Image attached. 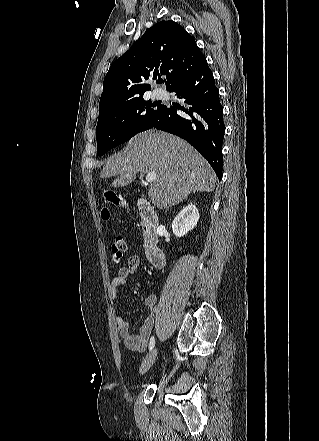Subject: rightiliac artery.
<instances>
[{
	"label": "right iliac artery",
	"instance_id": "obj_1",
	"mask_svg": "<svg viewBox=\"0 0 319 441\" xmlns=\"http://www.w3.org/2000/svg\"><path fill=\"white\" fill-rule=\"evenodd\" d=\"M155 346V339L154 336L151 337L150 343H149V350L151 351Z\"/></svg>",
	"mask_w": 319,
	"mask_h": 441
}]
</instances>
